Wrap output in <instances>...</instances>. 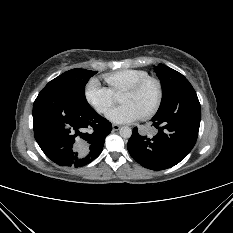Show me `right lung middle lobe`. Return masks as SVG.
Returning a JSON list of instances; mask_svg holds the SVG:
<instances>
[{
    "instance_id": "right-lung-middle-lobe-1",
    "label": "right lung middle lobe",
    "mask_w": 233,
    "mask_h": 233,
    "mask_svg": "<svg viewBox=\"0 0 233 233\" xmlns=\"http://www.w3.org/2000/svg\"><path fill=\"white\" fill-rule=\"evenodd\" d=\"M96 73L86 69H72L50 81L46 88L58 89L71 98L89 105L85 98V86L90 77Z\"/></svg>"
}]
</instances>
